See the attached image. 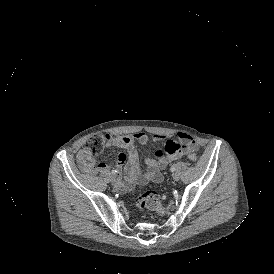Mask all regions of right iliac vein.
<instances>
[{
    "label": "right iliac vein",
    "instance_id": "right-iliac-vein-1",
    "mask_svg": "<svg viewBox=\"0 0 274 274\" xmlns=\"http://www.w3.org/2000/svg\"><path fill=\"white\" fill-rule=\"evenodd\" d=\"M116 181H117V178H116L115 176H112V177H111V182H112V183H116Z\"/></svg>",
    "mask_w": 274,
    "mask_h": 274
}]
</instances>
